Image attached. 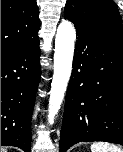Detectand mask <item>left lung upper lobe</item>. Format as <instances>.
Returning <instances> with one entry per match:
<instances>
[{
    "label": "left lung upper lobe",
    "mask_w": 123,
    "mask_h": 152,
    "mask_svg": "<svg viewBox=\"0 0 123 152\" xmlns=\"http://www.w3.org/2000/svg\"><path fill=\"white\" fill-rule=\"evenodd\" d=\"M65 16L79 18L85 25L123 44V26L113 0H67Z\"/></svg>",
    "instance_id": "1"
}]
</instances>
